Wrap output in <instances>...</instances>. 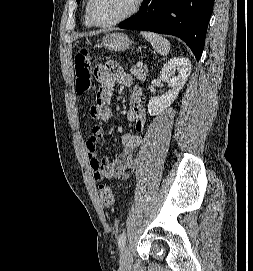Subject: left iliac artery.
<instances>
[{
	"label": "left iliac artery",
	"instance_id": "obj_1",
	"mask_svg": "<svg viewBox=\"0 0 253 271\" xmlns=\"http://www.w3.org/2000/svg\"><path fill=\"white\" fill-rule=\"evenodd\" d=\"M126 243V235L125 233H122L118 238V246L122 250Z\"/></svg>",
	"mask_w": 253,
	"mask_h": 271
}]
</instances>
